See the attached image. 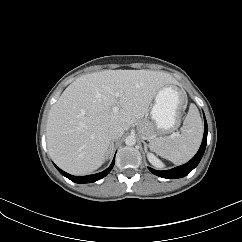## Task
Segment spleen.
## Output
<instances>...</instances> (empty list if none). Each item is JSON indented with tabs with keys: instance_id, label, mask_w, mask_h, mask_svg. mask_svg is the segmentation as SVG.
Segmentation results:
<instances>
[{
	"instance_id": "spleen-1",
	"label": "spleen",
	"mask_w": 242,
	"mask_h": 242,
	"mask_svg": "<svg viewBox=\"0 0 242 242\" xmlns=\"http://www.w3.org/2000/svg\"><path fill=\"white\" fill-rule=\"evenodd\" d=\"M203 136V124L197 107L191 104L181 133L159 137L150 143V148L159 156L176 165L189 161L198 151Z\"/></svg>"
}]
</instances>
